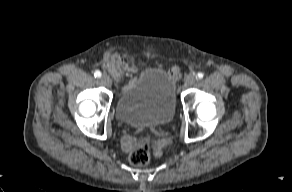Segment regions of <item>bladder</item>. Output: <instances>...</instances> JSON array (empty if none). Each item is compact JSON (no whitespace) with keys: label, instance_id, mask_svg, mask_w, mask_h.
I'll return each mask as SVG.
<instances>
[{"label":"bladder","instance_id":"1","mask_svg":"<svg viewBox=\"0 0 292 192\" xmlns=\"http://www.w3.org/2000/svg\"><path fill=\"white\" fill-rule=\"evenodd\" d=\"M176 111L174 80L160 68H147L129 80L119 95L117 119L129 125H161Z\"/></svg>","mask_w":292,"mask_h":192}]
</instances>
